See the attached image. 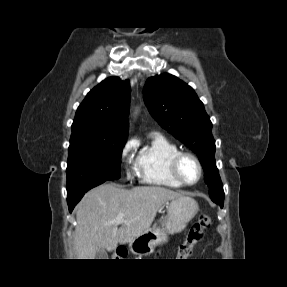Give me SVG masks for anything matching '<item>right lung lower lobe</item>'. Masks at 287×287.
<instances>
[{"instance_id":"obj_1","label":"right lung lower lobe","mask_w":287,"mask_h":287,"mask_svg":"<svg viewBox=\"0 0 287 287\" xmlns=\"http://www.w3.org/2000/svg\"><path fill=\"white\" fill-rule=\"evenodd\" d=\"M102 181L90 182L82 185L81 187L67 193V203L69 207V211L72 212L75 205L81 200L83 195L90 190L91 188L102 184Z\"/></svg>"}]
</instances>
